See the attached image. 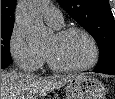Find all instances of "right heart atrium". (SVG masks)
<instances>
[{
	"label": "right heart atrium",
	"instance_id": "d8ad5b80",
	"mask_svg": "<svg viewBox=\"0 0 115 99\" xmlns=\"http://www.w3.org/2000/svg\"><path fill=\"white\" fill-rule=\"evenodd\" d=\"M9 51L15 63L27 71L38 70L44 63V54L33 50L22 32L15 27L9 39Z\"/></svg>",
	"mask_w": 115,
	"mask_h": 99
}]
</instances>
